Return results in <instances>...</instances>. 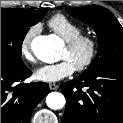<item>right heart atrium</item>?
Masks as SVG:
<instances>
[{
	"instance_id": "obj_1",
	"label": "right heart atrium",
	"mask_w": 123,
	"mask_h": 123,
	"mask_svg": "<svg viewBox=\"0 0 123 123\" xmlns=\"http://www.w3.org/2000/svg\"><path fill=\"white\" fill-rule=\"evenodd\" d=\"M39 26L34 25L30 27L24 34L20 43V54L26 61L32 62L34 60L31 51V42L34 36L38 33Z\"/></svg>"
}]
</instances>
